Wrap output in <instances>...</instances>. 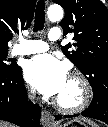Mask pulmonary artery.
Returning <instances> with one entry per match:
<instances>
[{
    "label": "pulmonary artery",
    "mask_w": 108,
    "mask_h": 127,
    "mask_svg": "<svg viewBox=\"0 0 108 127\" xmlns=\"http://www.w3.org/2000/svg\"><path fill=\"white\" fill-rule=\"evenodd\" d=\"M48 38L50 41H57L61 38V31L58 28H52L49 31ZM49 49L46 42L42 40H21L19 44L13 47V55H30L45 52Z\"/></svg>",
    "instance_id": "pulmonary-artery-1"
}]
</instances>
